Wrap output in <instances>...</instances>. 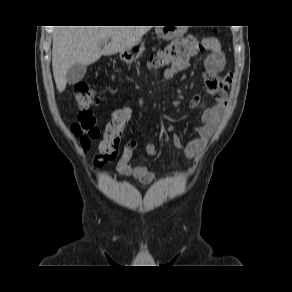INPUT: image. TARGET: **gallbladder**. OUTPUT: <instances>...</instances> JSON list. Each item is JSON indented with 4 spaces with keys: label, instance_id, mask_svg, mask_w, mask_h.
<instances>
[{
    "label": "gallbladder",
    "instance_id": "obj_1",
    "mask_svg": "<svg viewBox=\"0 0 292 292\" xmlns=\"http://www.w3.org/2000/svg\"><path fill=\"white\" fill-rule=\"evenodd\" d=\"M87 71V66L75 64L68 70L66 80L69 85L78 83L83 79Z\"/></svg>",
    "mask_w": 292,
    "mask_h": 292
}]
</instances>
